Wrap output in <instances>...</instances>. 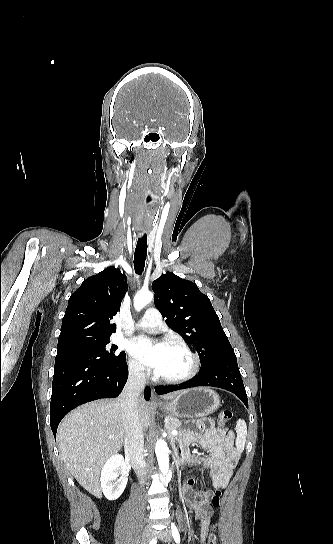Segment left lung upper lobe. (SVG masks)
<instances>
[{"label":"left lung upper lobe","mask_w":333,"mask_h":544,"mask_svg":"<svg viewBox=\"0 0 333 544\" xmlns=\"http://www.w3.org/2000/svg\"><path fill=\"white\" fill-rule=\"evenodd\" d=\"M155 306L166 324L193 344L201 368L224 360L237 361L209 298L197 285L166 272L152 283Z\"/></svg>","instance_id":"1"}]
</instances>
